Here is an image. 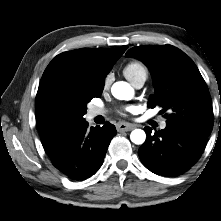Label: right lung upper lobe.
I'll use <instances>...</instances> for the list:
<instances>
[{"label": "right lung upper lobe", "instance_id": "right-lung-upper-lobe-1", "mask_svg": "<svg viewBox=\"0 0 221 221\" xmlns=\"http://www.w3.org/2000/svg\"><path fill=\"white\" fill-rule=\"evenodd\" d=\"M127 48V46L113 49L82 48L63 52L55 56L45 69L38 92L51 81L65 77L77 70H84L89 74L92 86L103 85L105 77L110 72L113 64ZM36 118L43 147L46 153L49 154L67 134L53 129L44 120L38 105H36Z\"/></svg>", "mask_w": 221, "mask_h": 221}]
</instances>
